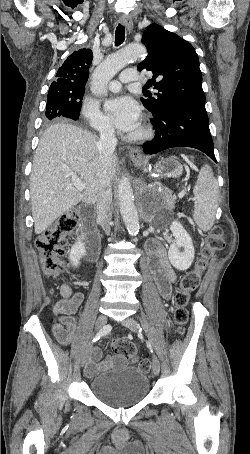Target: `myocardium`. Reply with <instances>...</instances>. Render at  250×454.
Here are the masks:
<instances>
[{
    "label": "myocardium",
    "instance_id": "1",
    "mask_svg": "<svg viewBox=\"0 0 250 454\" xmlns=\"http://www.w3.org/2000/svg\"><path fill=\"white\" fill-rule=\"evenodd\" d=\"M151 136H152L151 128L147 124L143 123L140 125V130L137 134L134 135L129 134L126 138L128 141L131 142H142L149 139Z\"/></svg>",
    "mask_w": 250,
    "mask_h": 454
}]
</instances>
